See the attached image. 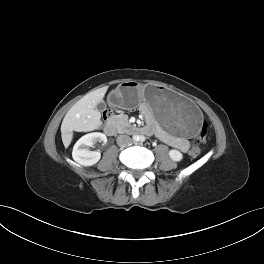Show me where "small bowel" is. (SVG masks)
I'll list each match as a JSON object with an SVG mask.
<instances>
[{
  "label": "small bowel",
  "instance_id": "1",
  "mask_svg": "<svg viewBox=\"0 0 264 264\" xmlns=\"http://www.w3.org/2000/svg\"><path fill=\"white\" fill-rule=\"evenodd\" d=\"M152 130L155 131V133L165 142H167L169 145L178 148L182 151H186L188 148L187 142L183 139L180 138H176L173 137L171 135H169L168 133H166L164 130L162 129H154L153 127H151Z\"/></svg>",
  "mask_w": 264,
  "mask_h": 264
}]
</instances>
